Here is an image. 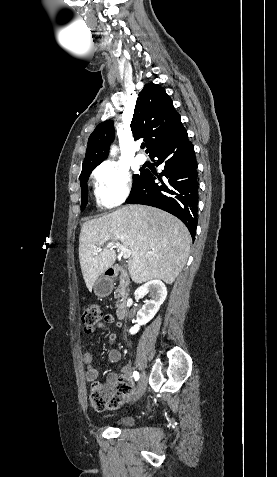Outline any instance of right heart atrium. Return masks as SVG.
I'll use <instances>...</instances> for the list:
<instances>
[{"label": "right heart atrium", "mask_w": 277, "mask_h": 477, "mask_svg": "<svg viewBox=\"0 0 277 477\" xmlns=\"http://www.w3.org/2000/svg\"><path fill=\"white\" fill-rule=\"evenodd\" d=\"M99 203L112 208L122 204L130 194L131 177L122 166L104 162L93 173Z\"/></svg>", "instance_id": "right-heart-atrium-1"}]
</instances>
